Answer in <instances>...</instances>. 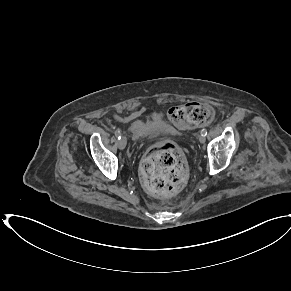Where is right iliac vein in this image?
Masks as SVG:
<instances>
[{
  "label": "right iliac vein",
  "instance_id": "1",
  "mask_svg": "<svg viewBox=\"0 0 291 291\" xmlns=\"http://www.w3.org/2000/svg\"><path fill=\"white\" fill-rule=\"evenodd\" d=\"M127 145V139L126 137L122 136L118 141V147L123 150Z\"/></svg>",
  "mask_w": 291,
  "mask_h": 291
}]
</instances>
